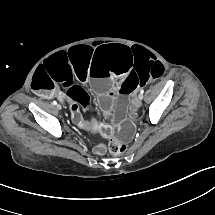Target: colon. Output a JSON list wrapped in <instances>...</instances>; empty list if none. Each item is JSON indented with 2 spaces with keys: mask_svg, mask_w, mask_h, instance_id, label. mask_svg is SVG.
<instances>
[{
  "mask_svg": "<svg viewBox=\"0 0 215 215\" xmlns=\"http://www.w3.org/2000/svg\"><path fill=\"white\" fill-rule=\"evenodd\" d=\"M77 99L81 100L82 102L87 103L89 105V108H88L89 110L93 109L92 105L89 103V100L84 95V93L78 92L77 93ZM125 149H126V146L119 141H112L109 144V151L114 155L122 154L125 151Z\"/></svg>",
  "mask_w": 215,
  "mask_h": 215,
  "instance_id": "1",
  "label": "colon"
}]
</instances>
